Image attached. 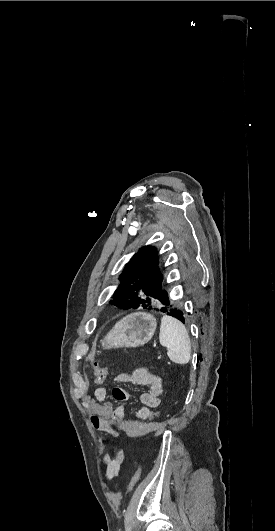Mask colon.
Returning a JSON list of instances; mask_svg holds the SVG:
<instances>
[{
    "mask_svg": "<svg viewBox=\"0 0 275 531\" xmlns=\"http://www.w3.org/2000/svg\"><path fill=\"white\" fill-rule=\"evenodd\" d=\"M107 379V368L105 365H101L99 363H94V383L96 386H102ZM163 408L161 406H158L153 412L149 415V420L147 424V427H150V425H153L156 421L159 420V418L162 416ZM141 471H142V464L140 460L137 464V469L132 476L129 484L127 485L125 489V494H129L134 489L135 485L138 483V481L141 478Z\"/></svg>",
    "mask_w": 275,
    "mask_h": 531,
    "instance_id": "5ec220e1",
    "label": "colon"
}]
</instances>
